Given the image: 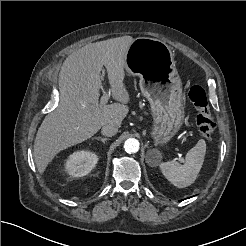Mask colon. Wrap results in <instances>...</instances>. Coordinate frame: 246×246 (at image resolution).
<instances>
[{
  "label": "colon",
  "mask_w": 246,
  "mask_h": 246,
  "mask_svg": "<svg viewBox=\"0 0 246 246\" xmlns=\"http://www.w3.org/2000/svg\"><path fill=\"white\" fill-rule=\"evenodd\" d=\"M188 98L198 111L196 124L200 135L207 139L212 138L215 122L209 109L205 90L199 85H192L188 90Z\"/></svg>",
  "instance_id": "1"
}]
</instances>
